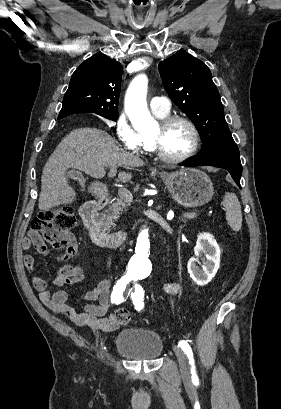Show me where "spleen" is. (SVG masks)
Here are the masks:
<instances>
[{"instance_id": "obj_1", "label": "spleen", "mask_w": 281, "mask_h": 409, "mask_svg": "<svg viewBox=\"0 0 281 409\" xmlns=\"http://www.w3.org/2000/svg\"><path fill=\"white\" fill-rule=\"evenodd\" d=\"M223 207L226 209V221L233 231H240L242 227V211L235 192H226L223 198Z\"/></svg>"}]
</instances>
